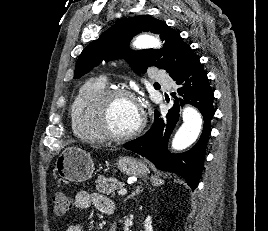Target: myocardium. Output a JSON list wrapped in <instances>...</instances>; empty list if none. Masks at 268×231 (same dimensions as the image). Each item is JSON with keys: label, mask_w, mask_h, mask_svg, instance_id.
I'll return each mask as SVG.
<instances>
[{"label": "myocardium", "mask_w": 268, "mask_h": 231, "mask_svg": "<svg viewBox=\"0 0 268 231\" xmlns=\"http://www.w3.org/2000/svg\"><path fill=\"white\" fill-rule=\"evenodd\" d=\"M119 97H127L132 99L140 109L141 119L138 126L127 133L114 132L109 125L108 110L111 102ZM93 121L96 130L100 136L106 140L120 142L131 139L139 135L146 125V115L144 109L134 93L130 90L120 87L106 88L94 101L93 105Z\"/></svg>", "instance_id": "1"}]
</instances>
